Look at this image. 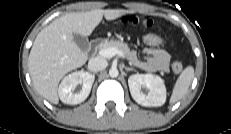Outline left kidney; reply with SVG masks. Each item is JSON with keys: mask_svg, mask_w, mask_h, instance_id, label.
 <instances>
[{"mask_svg": "<svg viewBox=\"0 0 231 134\" xmlns=\"http://www.w3.org/2000/svg\"><path fill=\"white\" fill-rule=\"evenodd\" d=\"M132 98L140 105L147 107L162 106L166 101V87L164 81L153 74H134L128 79ZM146 88L145 94L142 89Z\"/></svg>", "mask_w": 231, "mask_h": 134, "instance_id": "left-kidney-1", "label": "left kidney"}]
</instances>
